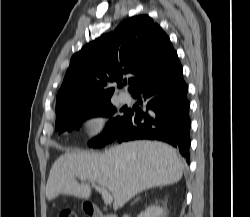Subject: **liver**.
<instances>
[{"mask_svg": "<svg viewBox=\"0 0 250 217\" xmlns=\"http://www.w3.org/2000/svg\"><path fill=\"white\" fill-rule=\"evenodd\" d=\"M182 172L176 150L157 141L127 142L103 153L75 150L52 165L46 198L52 201L65 194L87 199L91 195L89 183H97L111 192L117 210L143 190L178 182ZM80 177L89 183L79 184Z\"/></svg>", "mask_w": 250, "mask_h": 217, "instance_id": "1", "label": "liver"}]
</instances>
